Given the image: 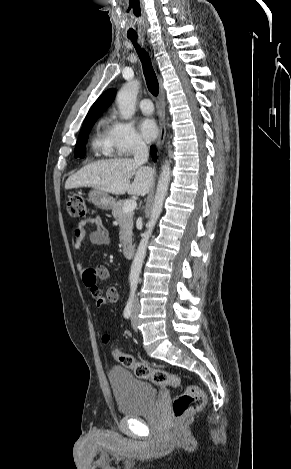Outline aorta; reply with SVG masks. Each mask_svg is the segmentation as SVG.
Instances as JSON below:
<instances>
[{
	"instance_id": "762f6f07",
	"label": "aorta",
	"mask_w": 291,
	"mask_h": 469,
	"mask_svg": "<svg viewBox=\"0 0 291 469\" xmlns=\"http://www.w3.org/2000/svg\"><path fill=\"white\" fill-rule=\"evenodd\" d=\"M140 83L132 81L123 85L117 93V105L123 119H130L135 113V103L139 91ZM170 182V165L165 161L157 184V190L154 198V204L151 210L150 220L147 224V230L139 243L134 256L131 271L129 275L130 290L134 292L137 289L140 272L146 255L147 245L156 222L162 212L165 197L168 192Z\"/></svg>"
}]
</instances>
